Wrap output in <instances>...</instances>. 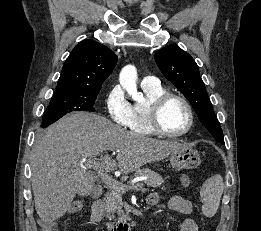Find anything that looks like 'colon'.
Listing matches in <instances>:
<instances>
[{"instance_id":"1","label":"colon","mask_w":261,"mask_h":231,"mask_svg":"<svg viewBox=\"0 0 261 231\" xmlns=\"http://www.w3.org/2000/svg\"><path fill=\"white\" fill-rule=\"evenodd\" d=\"M83 209V204L80 201L73 202L66 210L69 214H75ZM40 231H59L56 223L53 220H39Z\"/></svg>"}]
</instances>
